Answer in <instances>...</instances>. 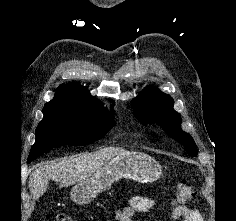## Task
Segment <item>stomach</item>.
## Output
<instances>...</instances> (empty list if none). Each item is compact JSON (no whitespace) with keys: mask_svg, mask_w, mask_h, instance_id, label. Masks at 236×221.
<instances>
[{"mask_svg":"<svg viewBox=\"0 0 236 221\" xmlns=\"http://www.w3.org/2000/svg\"><path fill=\"white\" fill-rule=\"evenodd\" d=\"M162 173L160 164L151 156L124 152L116 155L89 179L76 184L71 198L78 204H88L100 192L110 188L118 178H128L140 183H152Z\"/></svg>","mask_w":236,"mask_h":221,"instance_id":"0dacf381","label":"stomach"}]
</instances>
